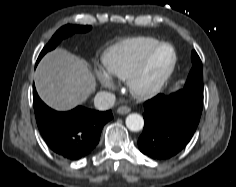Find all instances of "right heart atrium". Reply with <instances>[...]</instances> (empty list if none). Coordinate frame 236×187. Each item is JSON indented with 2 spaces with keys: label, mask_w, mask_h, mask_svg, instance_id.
Listing matches in <instances>:
<instances>
[{
  "label": "right heart atrium",
  "mask_w": 236,
  "mask_h": 187,
  "mask_svg": "<svg viewBox=\"0 0 236 187\" xmlns=\"http://www.w3.org/2000/svg\"><path fill=\"white\" fill-rule=\"evenodd\" d=\"M96 79L107 89H113L115 87V81L111 75L100 69L95 70Z\"/></svg>",
  "instance_id": "right-heart-atrium-1"
}]
</instances>
